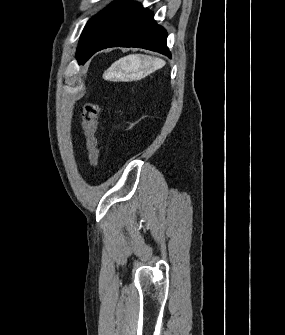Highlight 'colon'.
Instances as JSON below:
<instances>
[{"label":"colon","instance_id":"obj_1","mask_svg":"<svg viewBox=\"0 0 285 335\" xmlns=\"http://www.w3.org/2000/svg\"><path fill=\"white\" fill-rule=\"evenodd\" d=\"M100 105L96 102L86 103L81 114L82 127L86 138V148L89 155L90 165L96 169L99 164V148L96 131Z\"/></svg>","mask_w":285,"mask_h":335}]
</instances>
